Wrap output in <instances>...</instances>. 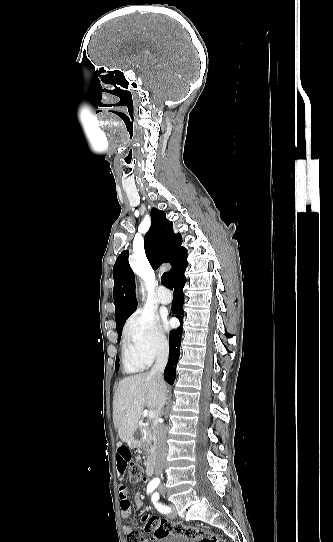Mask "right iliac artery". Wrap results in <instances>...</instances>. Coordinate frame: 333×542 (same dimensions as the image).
Listing matches in <instances>:
<instances>
[{"mask_svg":"<svg viewBox=\"0 0 333 542\" xmlns=\"http://www.w3.org/2000/svg\"><path fill=\"white\" fill-rule=\"evenodd\" d=\"M157 486L158 483H149L147 486V493H151Z\"/></svg>","mask_w":333,"mask_h":542,"instance_id":"1","label":"right iliac artery"}]
</instances>
